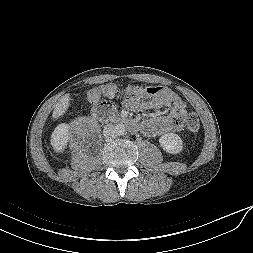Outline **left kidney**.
<instances>
[{
    "instance_id": "1",
    "label": "left kidney",
    "mask_w": 253,
    "mask_h": 253,
    "mask_svg": "<svg viewBox=\"0 0 253 253\" xmlns=\"http://www.w3.org/2000/svg\"><path fill=\"white\" fill-rule=\"evenodd\" d=\"M159 143L163 150L170 154H178L183 149V141L179 135L167 133L160 137Z\"/></svg>"
}]
</instances>
